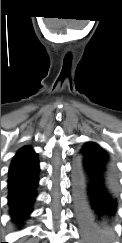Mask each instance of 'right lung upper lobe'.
<instances>
[{
    "instance_id": "1",
    "label": "right lung upper lobe",
    "mask_w": 122,
    "mask_h": 243,
    "mask_svg": "<svg viewBox=\"0 0 122 243\" xmlns=\"http://www.w3.org/2000/svg\"><path fill=\"white\" fill-rule=\"evenodd\" d=\"M36 165H38L36 153L33 152L31 147H23L13 158L9 176Z\"/></svg>"
}]
</instances>
